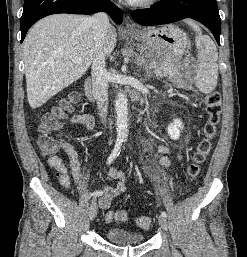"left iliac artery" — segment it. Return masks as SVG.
<instances>
[{
    "instance_id": "1",
    "label": "left iliac artery",
    "mask_w": 247,
    "mask_h": 257,
    "mask_svg": "<svg viewBox=\"0 0 247 257\" xmlns=\"http://www.w3.org/2000/svg\"><path fill=\"white\" fill-rule=\"evenodd\" d=\"M161 216H163V217H165V218H166V217H167L166 212L162 211V212H161Z\"/></svg>"
}]
</instances>
